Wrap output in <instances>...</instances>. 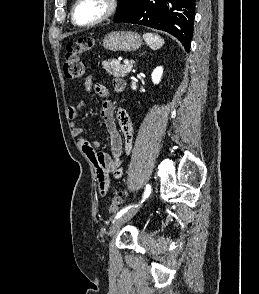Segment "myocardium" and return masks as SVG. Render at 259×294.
<instances>
[{
  "label": "myocardium",
  "mask_w": 259,
  "mask_h": 294,
  "mask_svg": "<svg viewBox=\"0 0 259 294\" xmlns=\"http://www.w3.org/2000/svg\"><path fill=\"white\" fill-rule=\"evenodd\" d=\"M82 0H76L71 9V21L74 25L82 28H89L100 23L105 22L106 20L110 19L112 16L116 14L119 8V0H105L106 1V10L105 12L96 20L89 22V23H79L76 19V11L78 5L81 3Z\"/></svg>",
  "instance_id": "obj_1"
}]
</instances>
